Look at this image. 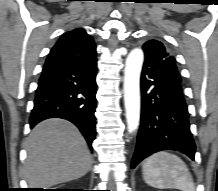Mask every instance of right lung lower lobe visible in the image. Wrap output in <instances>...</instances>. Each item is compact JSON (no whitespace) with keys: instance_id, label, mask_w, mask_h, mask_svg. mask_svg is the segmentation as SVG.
Returning a JSON list of instances; mask_svg holds the SVG:
<instances>
[{"instance_id":"right-lung-lower-lobe-1","label":"right lung lower lobe","mask_w":218,"mask_h":191,"mask_svg":"<svg viewBox=\"0 0 218 191\" xmlns=\"http://www.w3.org/2000/svg\"><path fill=\"white\" fill-rule=\"evenodd\" d=\"M96 70L93 39L63 34L44 64L30 127L48 118L69 120L80 129L91 148L96 135Z\"/></svg>"}]
</instances>
